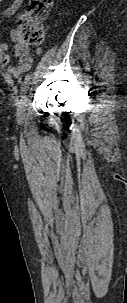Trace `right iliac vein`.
Wrapping results in <instances>:
<instances>
[{
    "label": "right iliac vein",
    "instance_id": "right-iliac-vein-1",
    "mask_svg": "<svg viewBox=\"0 0 127 303\" xmlns=\"http://www.w3.org/2000/svg\"><path fill=\"white\" fill-rule=\"evenodd\" d=\"M28 96L27 93H24L22 98L19 101L18 107H17V118L18 120H23L25 116V109L27 106Z\"/></svg>",
    "mask_w": 127,
    "mask_h": 303
}]
</instances>
